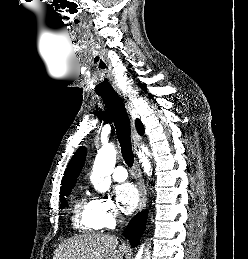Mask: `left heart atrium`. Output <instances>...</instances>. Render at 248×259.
<instances>
[{
    "label": "left heart atrium",
    "instance_id": "obj_1",
    "mask_svg": "<svg viewBox=\"0 0 248 259\" xmlns=\"http://www.w3.org/2000/svg\"><path fill=\"white\" fill-rule=\"evenodd\" d=\"M116 199L121 209L126 212H132L139 201L137 189L130 183H124L115 189Z\"/></svg>",
    "mask_w": 248,
    "mask_h": 259
}]
</instances>
